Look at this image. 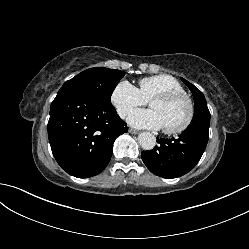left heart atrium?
I'll return each instance as SVG.
<instances>
[{
	"instance_id": "obj_1",
	"label": "left heart atrium",
	"mask_w": 249,
	"mask_h": 249,
	"mask_svg": "<svg viewBox=\"0 0 249 249\" xmlns=\"http://www.w3.org/2000/svg\"><path fill=\"white\" fill-rule=\"evenodd\" d=\"M128 122L136 128L160 129L163 127L159 115L152 109L132 111L128 117Z\"/></svg>"
}]
</instances>
